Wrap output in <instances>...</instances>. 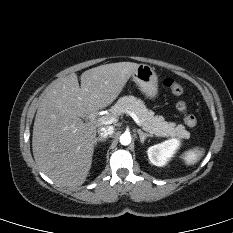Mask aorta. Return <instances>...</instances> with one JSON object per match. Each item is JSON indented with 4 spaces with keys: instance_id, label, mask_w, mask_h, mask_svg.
<instances>
[{
    "instance_id": "762f6f07",
    "label": "aorta",
    "mask_w": 233,
    "mask_h": 233,
    "mask_svg": "<svg viewBox=\"0 0 233 233\" xmlns=\"http://www.w3.org/2000/svg\"><path fill=\"white\" fill-rule=\"evenodd\" d=\"M120 143L124 146H127L131 143V135L128 134V133H123L121 136H120Z\"/></svg>"
}]
</instances>
